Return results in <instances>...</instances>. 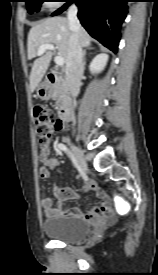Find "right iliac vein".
Listing matches in <instances>:
<instances>
[{"label":"right iliac vein","instance_id":"1","mask_svg":"<svg viewBox=\"0 0 158 275\" xmlns=\"http://www.w3.org/2000/svg\"><path fill=\"white\" fill-rule=\"evenodd\" d=\"M68 144H69L70 148L72 149L76 159L82 166V168L87 169V162H86V159H85V156H84L82 150L71 142H68Z\"/></svg>","mask_w":158,"mask_h":275}]
</instances>
